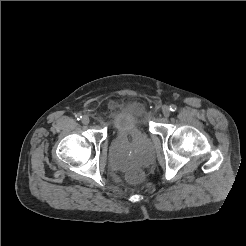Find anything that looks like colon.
<instances>
[{"instance_id": "5ec220e1", "label": "colon", "mask_w": 246, "mask_h": 246, "mask_svg": "<svg viewBox=\"0 0 246 246\" xmlns=\"http://www.w3.org/2000/svg\"><path fill=\"white\" fill-rule=\"evenodd\" d=\"M128 177L131 181L137 182L140 179V174L138 172L133 171V172L129 173Z\"/></svg>"}]
</instances>
